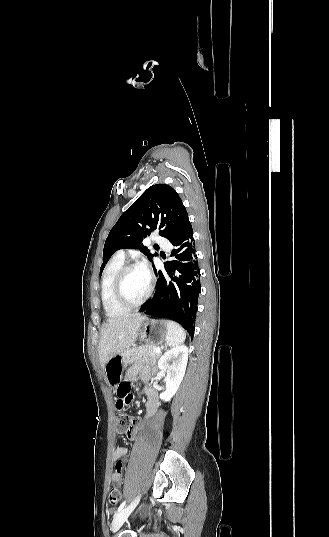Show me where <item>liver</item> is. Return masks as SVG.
<instances>
[{"instance_id": "liver-1", "label": "liver", "mask_w": 329, "mask_h": 537, "mask_svg": "<svg viewBox=\"0 0 329 537\" xmlns=\"http://www.w3.org/2000/svg\"><path fill=\"white\" fill-rule=\"evenodd\" d=\"M145 317L139 313L108 319L102 325L98 355L101 367L114 356L129 349L135 342Z\"/></svg>"}]
</instances>
